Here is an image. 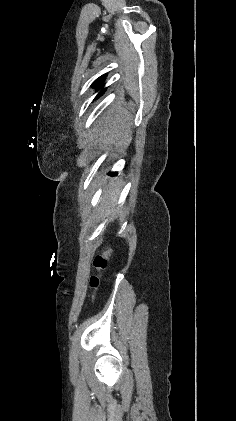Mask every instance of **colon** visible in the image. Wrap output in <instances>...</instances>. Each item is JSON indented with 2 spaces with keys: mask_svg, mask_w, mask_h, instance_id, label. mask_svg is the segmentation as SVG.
Returning a JSON list of instances; mask_svg holds the SVG:
<instances>
[{
  "mask_svg": "<svg viewBox=\"0 0 236 421\" xmlns=\"http://www.w3.org/2000/svg\"><path fill=\"white\" fill-rule=\"evenodd\" d=\"M113 249L107 250L106 252L97 255L94 260H93V266L95 267V269L98 272L103 271L106 266H107V262H108V258L111 256V254L113 253ZM100 280L99 277L97 275H93L90 277V287L93 289H96L99 286Z\"/></svg>",
  "mask_w": 236,
  "mask_h": 421,
  "instance_id": "5ec220e1",
  "label": "colon"
}]
</instances>
